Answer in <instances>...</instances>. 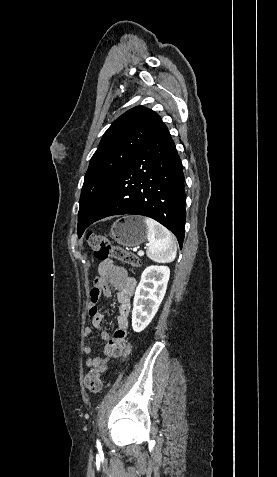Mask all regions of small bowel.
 I'll return each instance as SVG.
<instances>
[{
	"instance_id": "c3829d8e",
	"label": "small bowel",
	"mask_w": 277,
	"mask_h": 477,
	"mask_svg": "<svg viewBox=\"0 0 277 477\" xmlns=\"http://www.w3.org/2000/svg\"><path fill=\"white\" fill-rule=\"evenodd\" d=\"M98 277L95 279L94 287L91 290L88 310L92 318L94 328L101 330L100 336L105 341L103 345L102 356H89L86 359V366L104 373L109 369L111 358L123 356L126 357L130 352L129 335V314L131 311V297L136 287V280L129 276L127 272L116 266L109 258L102 260L98 267ZM117 291V300L119 303L117 328L114 336L111 337L108 331L103 330L102 323L104 315L98 310L97 304L101 295L107 298L111 297V289ZM93 330L87 327L83 331V351L91 355L93 348L87 343V339L92 335Z\"/></svg>"
}]
</instances>
